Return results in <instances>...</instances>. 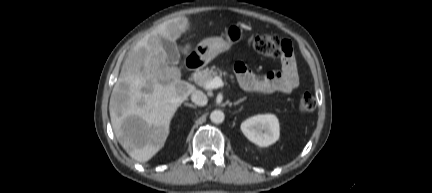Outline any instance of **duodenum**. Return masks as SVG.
<instances>
[{"label": "duodenum", "mask_w": 432, "mask_h": 193, "mask_svg": "<svg viewBox=\"0 0 432 193\" xmlns=\"http://www.w3.org/2000/svg\"><path fill=\"white\" fill-rule=\"evenodd\" d=\"M186 65L193 73H197L202 67V60L199 56L192 55L187 59Z\"/></svg>", "instance_id": "410a0bca"}]
</instances>
